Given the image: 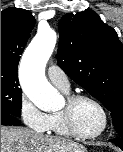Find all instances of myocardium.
I'll list each match as a JSON object with an SVG mask.
<instances>
[{"label": "myocardium", "mask_w": 123, "mask_h": 152, "mask_svg": "<svg viewBox=\"0 0 123 152\" xmlns=\"http://www.w3.org/2000/svg\"><path fill=\"white\" fill-rule=\"evenodd\" d=\"M81 100L90 101L100 110L102 114V117H103L102 126L95 133H92V134L82 133L76 128V125L74 123V118H73V109H74L75 104ZM60 114L68 132L72 136L80 138V139H94V138L99 137L106 131L109 124L108 113L105 107L103 106V104L99 100H97L95 97L88 94H84V93H74V94L67 95L65 99V107L60 110Z\"/></svg>", "instance_id": "myocardium-1"}]
</instances>
